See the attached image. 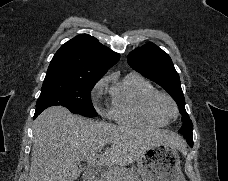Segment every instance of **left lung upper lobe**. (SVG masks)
Wrapping results in <instances>:
<instances>
[{"instance_id":"obj_1","label":"left lung upper lobe","mask_w":228,"mask_h":181,"mask_svg":"<svg viewBox=\"0 0 228 181\" xmlns=\"http://www.w3.org/2000/svg\"><path fill=\"white\" fill-rule=\"evenodd\" d=\"M127 61L135 71L159 84L174 98L183 121L178 132L182 135L192 132L193 124L185 110V98L180 78L169 55L155 44L147 43L132 51L128 55Z\"/></svg>"}]
</instances>
